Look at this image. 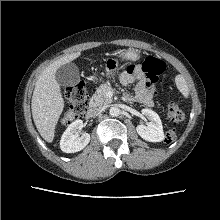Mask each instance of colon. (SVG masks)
Listing matches in <instances>:
<instances>
[{
  "label": "colon",
  "instance_id": "5ec220e1",
  "mask_svg": "<svg viewBox=\"0 0 220 220\" xmlns=\"http://www.w3.org/2000/svg\"><path fill=\"white\" fill-rule=\"evenodd\" d=\"M165 67L161 60L155 57H147L143 63V71L148 78L150 85H154ZM64 94L70 103V107L61 118V124L67 125L85 115L88 108L86 88L83 83H76L64 89ZM168 118L172 123H180L184 120V112L176 105L168 107ZM176 139V133L170 129L166 133V142L172 143Z\"/></svg>",
  "mask_w": 220,
  "mask_h": 220
}]
</instances>
